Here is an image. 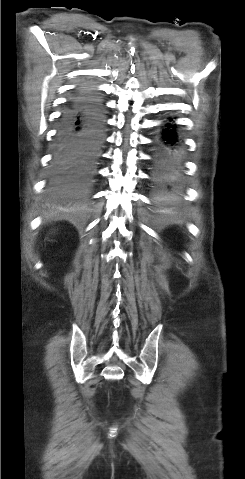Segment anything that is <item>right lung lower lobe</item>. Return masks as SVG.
I'll list each match as a JSON object with an SVG mask.
<instances>
[{
	"label": "right lung lower lobe",
	"mask_w": 245,
	"mask_h": 479,
	"mask_svg": "<svg viewBox=\"0 0 245 479\" xmlns=\"http://www.w3.org/2000/svg\"><path fill=\"white\" fill-rule=\"evenodd\" d=\"M101 99L81 87L63 110L47 189L60 200L82 206L87 202L105 134Z\"/></svg>",
	"instance_id": "right-lung-lower-lobe-1"
}]
</instances>
